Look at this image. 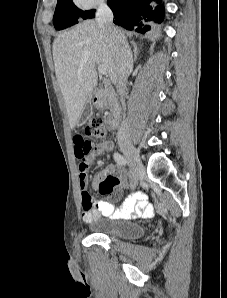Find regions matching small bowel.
<instances>
[{"label": "small bowel", "instance_id": "small-bowel-1", "mask_svg": "<svg viewBox=\"0 0 227 298\" xmlns=\"http://www.w3.org/2000/svg\"><path fill=\"white\" fill-rule=\"evenodd\" d=\"M86 134H74V139L71 140V147H74V158L80 159L79 164V184L82 189V220L90 223L101 216L112 219H130L136 217H150L153 214V206L147 202V197L142 192H132L127 196L122 206L117 209L115 205L106 200L93 202L92 196L88 192V167L97 158L111 151L113 144L106 140L93 146V142H84ZM117 173L121 177H125V171L117 165H109L107 168L95 175V181L102 180L107 174ZM121 191L114 193V197L119 198Z\"/></svg>", "mask_w": 227, "mask_h": 298}]
</instances>
